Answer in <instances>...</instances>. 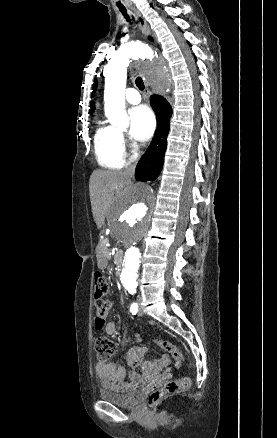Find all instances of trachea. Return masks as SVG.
I'll list each match as a JSON object with an SVG mask.
<instances>
[{
	"instance_id": "1",
	"label": "trachea",
	"mask_w": 277,
	"mask_h": 438,
	"mask_svg": "<svg viewBox=\"0 0 277 438\" xmlns=\"http://www.w3.org/2000/svg\"><path fill=\"white\" fill-rule=\"evenodd\" d=\"M119 10L124 15V17L127 19V21L131 22V19H130L129 15L127 14L126 8L125 7H119ZM135 84L139 88V90H144L145 86H144V82H143L141 77H137L136 78Z\"/></svg>"
}]
</instances>
